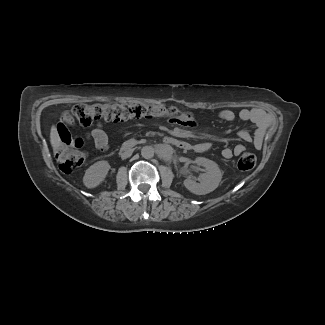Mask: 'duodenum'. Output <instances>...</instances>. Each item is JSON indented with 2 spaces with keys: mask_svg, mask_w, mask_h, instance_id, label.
Returning <instances> with one entry per match:
<instances>
[{
  "mask_svg": "<svg viewBox=\"0 0 325 325\" xmlns=\"http://www.w3.org/2000/svg\"><path fill=\"white\" fill-rule=\"evenodd\" d=\"M164 142L168 145H171L173 147H177L180 149H188L190 147L189 143H187L186 141L174 138V137H166ZM135 146V142L128 140L126 142L123 143L122 145V149L123 150H128L132 147Z\"/></svg>",
  "mask_w": 325,
  "mask_h": 325,
  "instance_id": "obj_1",
  "label": "duodenum"
}]
</instances>
